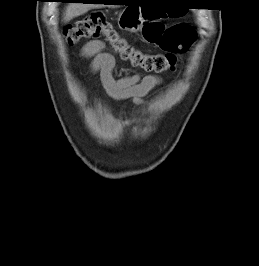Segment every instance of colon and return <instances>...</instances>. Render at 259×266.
Wrapping results in <instances>:
<instances>
[{
	"label": "colon",
	"instance_id": "1",
	"mask_svg": "<svg viewBox=\"0 0 259 266\" xmlns=\"http://www.w3.org/2000/svg\"><path fill=\"white\" fill-rule=\"evenodd\" d=\"M160 18V14L154 10L145 14L143 37L160 47L164 53L151 54L137 49L100 12H94L68 26L64 33L65 40L73 45L82 39L103 38L122 59L147 72L161 73L175 68L177 55L188 51L196 39V32L187 24L166 27Z\"/></svg>",
	"mask_w": 259,
	"mask_h": 266
}]
</instances>
